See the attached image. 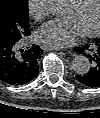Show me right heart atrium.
<instances>
[{"mask_svg": "<svg viewBox=\"0 0 100 118\" xmlns=\"http://www.w3.org/2000/svg\"><path fill=\"white\" fill-rule=\"evenodd\" d=\"M27 6L29 14L37 21L47 18L50 14V0H28Z\"/></svg>", "mask_w": 100, "mask_h": 118, "instance_id": "d8ad5b80", "label": "right heart atrium"}]
</instances>
